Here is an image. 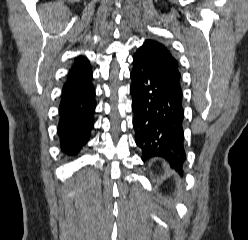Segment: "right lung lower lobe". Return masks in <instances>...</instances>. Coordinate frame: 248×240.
<instances>
[{"label": "right lung lower lobe", "mask_w": 248, "mask_h": 240, "mask_svg": "<svg viewBox=\"0 0 248 240\" xmlns=\"http://www.w3.org/2000/svg\"><path fill=\"white\" fill-rule=\"evenodd\" d=\"M92 70L67 78L59 105L58 136L64 153L75 155L90 139L94 125Z\"/></svg>", "instance_id": "obj_1"}]
</instances>
